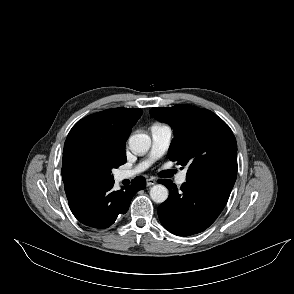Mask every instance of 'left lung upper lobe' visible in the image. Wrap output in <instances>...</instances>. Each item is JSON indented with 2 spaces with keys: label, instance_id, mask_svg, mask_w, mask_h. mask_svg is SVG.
Returning a JSON list of instances; mask_svg holds the SVG:
<instances>
[{
  "label": "left lung upper lobe",
  "instance_id": "obj_1",
  "mask_svg": "<svg viewBox=\"0 0 294 294\" xmlns=\"http://www.w3.org/2000/svg\"><path fill=\"white\" fill-rule=\"evenodd\" d=\"M150 113L173 129L168 157L179 165H189L186 179L218 174L236 180V139L216 114L190 105L152 108Z\"/></svg>",
  "mask_w": 294,
  "mask_h": 294
}]
</instances>
